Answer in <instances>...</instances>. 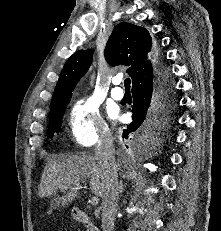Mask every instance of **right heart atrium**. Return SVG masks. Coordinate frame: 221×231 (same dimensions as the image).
I'll list each match as a JSON object with an SVG mask.
<instances>
[{
  "label": "right heart atrium",
  "instance_id": "right-heart-atrium-1",
  "mask_svg": "<svg viewBox=\"0 0 221 231\" xmlns=\"http://www.w3.org/2000/svg\"><path fill=\"white\" fill-rule=\"evenodd\" d=\"M70 133L81 146H93L110 139V131L91 98L77 100L70 112Z\"/></svg>",
  "mask_w": 221,
  "mask_h": 231
}]
</instances>
